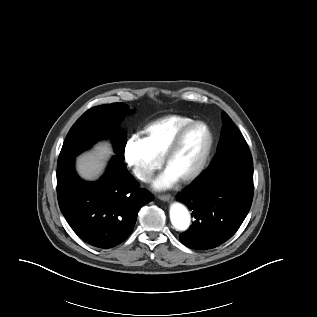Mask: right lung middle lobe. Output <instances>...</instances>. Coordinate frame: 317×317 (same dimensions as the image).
<instances>
[{"label": "right lung middle lobe", "instance_id": "dd1d6c3e", "mask_svg": "<svg viewBox=\"0 0 317 317\" xmlns=\"http://www.w3.org/2000/svg\"><path fill=\"white\" fill-rule=\"evenodd\" d=\"M129 113L124 103H113L94 107L86 111L70 129L62 146L57 168L74 161V157L88 149L95 141L114 135L116 154L124 158L126 134L117 131V122Z\"/></svg>", "mask_w": 317, "mask_h": 317}]
</instances>
